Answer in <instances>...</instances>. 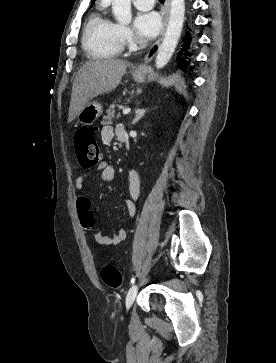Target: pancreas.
Returning <instances> with one entry per match:
<instances>
[{
    "mask_svg": "<svg viewBox=\"0 0 276 363\" xmlns=\"http://www.w3.org/2000/svg\"><path fill=\"white\" fill-rule=\"evenodd\" d=\"M117 106H119V105H117ZM114 108H115V105H111L109 107V109L106 111L107 115L104 116L103 117V120H102V124L103 125L112 124V120H113V118L115 116V110H114ZM117 117H119V115Z\"/></svg>",
    "mask_w": 276,
    "mask_h": 363,
    "instance_id": "pancreas-1",
    "label": "pancreas"
}]
</instances>
